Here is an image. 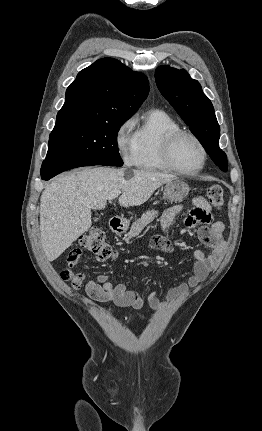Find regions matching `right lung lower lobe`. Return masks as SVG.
<instances>
[{"mask_svg": "<svg viewBox=\"0 0 262 431\" xmlns=\"http://www.w3.org/2000/svg\"><path fill=\"white\" fill-rule=\"evenodd\" d=\"M98 165L91 162L85 161H74V160H62V161H44L41 166V178L43 180H49L57 174L66 170L83 167Z\"/></svg>", "mask_w": 262, "mask_h": 431, "instance_id": "right-lung-lower-lobe-1", "label": "right lung lower lobe"}]
</instances>
